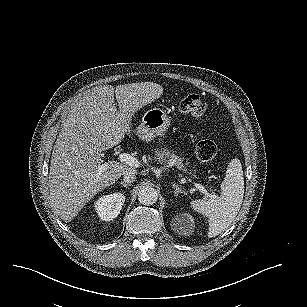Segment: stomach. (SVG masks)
<instances>
[{"instance_id": "0dacf381", "label": "stomach", "mask_w": 307, "mask_h": 307, "mask_svg": "<svg viewBox=\"0 0 307 307\" xmlns=\"http://www.w3.org/2000/svg\"><path fill=\"white\" fill-rule=\"evenodd\" d=\"M170 118L159 108L148 110L142 117V123L135 127L132 135L143 142L153 141L161 136L169 126Z\"/></svg>"}]
</instances>
